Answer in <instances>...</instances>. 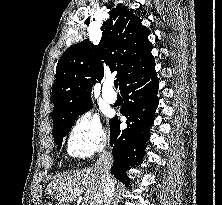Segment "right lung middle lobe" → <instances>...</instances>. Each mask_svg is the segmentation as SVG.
<instances>
[{
  "mask_svg": "<svg viewBox=\"0 0 222 205\" xmlns=\"http://www.w3.org/2000/svg\"><path fill=\"white\" fill-rule=\"evenodd\" d=\"M90 108H91V106H88L72 116H69L67 118L53 122V132L52 133L55 138V142L58 145V149H60V147H61L63 136H65L68 133V131L71 129L72 125L74 124V122L78 118V116L85 113Z\"/></svg>",
  "mask_w": 222,
  "mask_h": 205,
  "instance_id": "obj_1",
  "label": "right lung middle lobe"
}]
</instances>
